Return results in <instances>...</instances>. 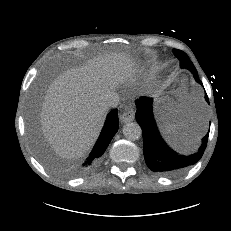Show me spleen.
Returning a JSON list of instances; mask_svg holds the SVG:
<instances>
[{"label": "spleen", "instance_id": "spleen-1", "mask_svg": "<svg viewBox=\"0 0 231 231\" xmlns=\"http://www.w3.org/2000/svg\"><path fill=\"white\" fill-rule=\"evenodd\" d=\"M177 124L176 123H167L165 125H163L161 127V130L163 132L164 135H169L171 132L175 131V129L177 128Z\"/></svg>", "mask_w": 231, "mask_h": 231}]
</instances>
